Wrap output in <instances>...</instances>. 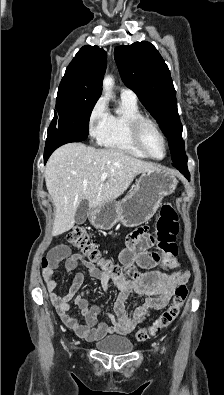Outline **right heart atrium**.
<instances>
[{"instance_id":"1","label":"right heart atrium","mask_w":224,"mask_h":395,"mask_svg":"<svg viewBox=\"0 0 224 395\" xmlns=\"http://www.w3.org/2000/svg\"><path fill=\"white\" fill-rule=\"evenodd\" d=\"M108 116L106 102L103 98H99L91 107L87 120L89 134L92 138L98 139L101 136L105 129Z\"/></svg>"}]
</instances>
